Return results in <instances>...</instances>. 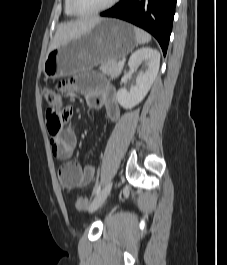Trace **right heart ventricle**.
<instances>
[{
	"label": "right heart ventricle",
	"mask_w": 227,
	"mask_h": 265,
	"mask_svg": "<svg viewBox=\"0 0 227 265\" xmlns=\"http://www.w3.org/2000/svg\"><path fill=\"white\" fill-rule=\"evenodd\" d=\"M64 10H65V13H66L67 16H70V17L77 16V15L74 14V13L72 12V10L70 9L69 0H65V1H64Z\"/></svg>",
	"instance_id": "right-heart-ventricle-1"
}]
</instances>
